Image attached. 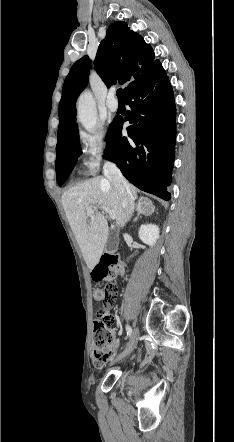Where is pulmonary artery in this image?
<instances>
[{"label": "pulmonary artery", "mask_w": 234, "mask_h": 442, "mask_svg": "<svg viewBox=\"0 0 234 442\" xmlns=\"http://www.w3.org/2000/svg\"><path fill=\"white\" fill-rule=\"evenodd\" d=\"M106 105H107V108L111 112L117 111V109H118V102L115 99V92L114 91L109 92L108 97H107V101H106Z\"/></svg>", "instance_id": "pulmonary-artery-1"}]
</instances>
